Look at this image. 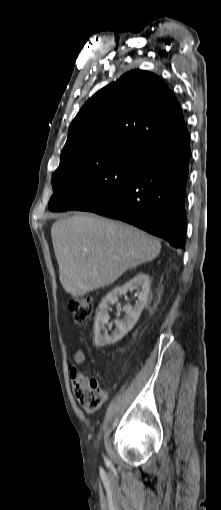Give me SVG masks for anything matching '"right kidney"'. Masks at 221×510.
<instances>
[{
    "label": "right kidney",
    "instance_id": "ca27d5eb",
    "mask_svg": "<svg viewBox=\"0 0 221 510\" xmlns=\"http://www.w3.org/2000/svg\"><path fill=\"white\" fill-rule=\"evenodd\" d=\"M133 289H137L138 291V301L134 307L131 305H126L123 308V311L126 314L124 320H116V329L112 332L111 335H108L105 325H107L109 329L112 327V324H109V305L116 303L120 295L126 294L128 290ZM149 292L150 280L148 275L139 273L123 286L116 287L107 294V296L101 301L98 309L96 310L94 322V344L96 347H104L116 343L134 327L144 306L147 303Z\"/></svg>",
    "mask_w": 221,
    "mask_h": 510
}]
</instances>
